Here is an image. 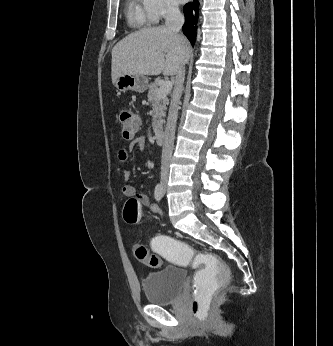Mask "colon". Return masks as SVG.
Here are the masks:
<instances>
[{
    "label": "colon",
    "mask_w": 333,
    "mask_h": 346,
    "mask_svg": "<svg viewBox=\"0 0 333 346\" xmlns=\"http://www.w3.org/2000/svg\"><path fill=\"white\" fill-rule=\"evenodd\" d=\"M122 136L125 140H131L140 127L138 117L130 110L124 109L119 114ZM123 218L127 224L135 225L140 218V202L136 198L126 201ZM154 240L148 241L151 251H157V255L149 252L144 244L133 245L136 259L150 268H159L163 256L168 264H174L175 268H188L196 271L191 287L192 310L199 315L202 310H210V299L217 294V288H226L230 280L231 270L224 264V257H216L208 253H197L191 244H184L183 240H175V235L168 233H154Z\"/></svg>",
    "instance_id": "5ec220e1"
}]
</instances>
